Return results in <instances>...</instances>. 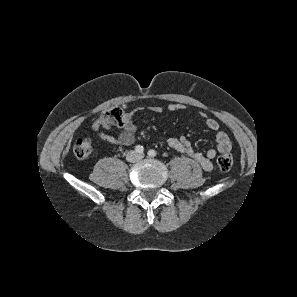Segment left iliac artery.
Returning <instances> with one entry per match:
<instances>
[{"mask_svg":"<svg viewBox=\"0 0 297 297\" xmlns=\"http://www.w3.org/2000/svg\"><path fill=\"white\" fill-rule=\"evenodd\" d=\"M156 154H157V152L155 150H153V149L148 151V156H150V157H155Z\"/></svg>","mask_w":297,"mask_h":297,"instance_id":"left-iliac-artery-1","label":"left iliac artery"}]
</instances>
